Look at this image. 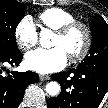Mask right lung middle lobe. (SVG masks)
<instances>
[{"label":"right lung middle lobe","mask_w":108,"mask_h":108,"mask_svg":"<svg viewBox=\"0 0 108 108\" xmlns=\"http://www.w3.org/2000/svg\"><path fill=\"white\" fill-rule=\"evenodd\" d=\"M26 6L15 0H0V48L17 50L15 30L24 17Z\"/></svg>","instance_id":"1"}]
</instances>
